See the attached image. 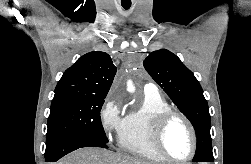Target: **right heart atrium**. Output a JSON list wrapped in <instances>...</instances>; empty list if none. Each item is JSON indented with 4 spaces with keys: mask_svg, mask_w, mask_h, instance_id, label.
Returning <instances> with one entry per match:
<instances>
[{
    "mask_svg": "<svg viewBox=\"0 0 251 164\" xmlns=\"http://www.w3.org/2000/svg\"><path fill=\"white\" fill-rule=\"evenodd\" d=\"M123 122L121 102L114 98L108 99L100 111V123L103 131L109 137L119 135Z\"/></svg>",
    "mask_w": 251,
    "mask_h": 164,
    "instance_id": "obj_1",
    "label": "right heart atrium"
}]
</instances>
